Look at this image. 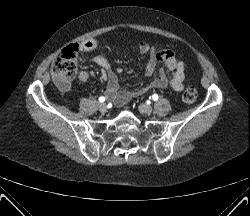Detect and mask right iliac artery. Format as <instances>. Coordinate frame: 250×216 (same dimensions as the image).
Returning <instances> with one entry per match:
<instances>
[{
    "instance_id": "obj_1",
    "label": "right iliac artery",
    "mask_w": 250,
    "mask_h": 216,
    "mask_svg": "<svg viewBox=\"0 0 250 216\" xmlns=\"http://www.w3.org/2000/svg\"><path fill=\"white\" fill-rule=\"evenodd\" d=\"M104 101H105V97L101 96V97L99 98V102H104Z\"/></svg>"
}]
</instances>
